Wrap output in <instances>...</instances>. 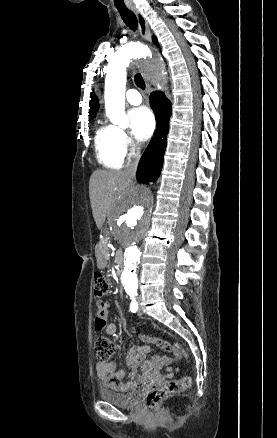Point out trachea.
Returning a JSON list of instances; mask_svg holds the SVG:
<instances>
[{
	"label": "trachea",
	"instance_id": "obj_1",
	"mask_svg": "<svg viewBox=\"0 0 277 438\" xmlns=\"http://www.w3.org/2000/svg\"><path fill=\"white\" fill-rule=\"evenodd\" d=\"M117 10L126 26L129 27L130 30L135 31L138 27V21L135 13H133V11L129 10L127 7H117ZM134 81L137 87L141 88L142 90L145 89V82L140 73H136L134 76Z\"/></svg>",
	"mask_w": 277,
	"mask_h": 438
}]
</instances>
